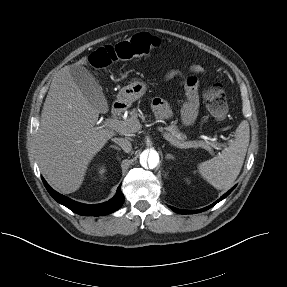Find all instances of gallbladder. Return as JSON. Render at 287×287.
Masks as SVG:
<instances>
[{"mask_svg":"<svg viewBox=\"0 0 287 287\" xmlns=\"http://www.w3.org/2000/svg\"><path fill=\"white\" fill-rule=\"evenodd\" d=\"M70 74L73 82L78 86L84 97L99 111H107V100L94 75L84 66L77 64L70 66Z\"/></svg>","mask_w":287,"mask_h":287,"instance_id":"bac80fb5","label":"gallbladder"}]
</instances>
